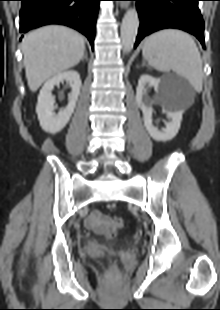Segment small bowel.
Wrapping results in <instances>:
<instances>
[{
	"label": "small bowel",
	"mask_w": 220,
	"mask_h": 310,
	"mask_svg": "<svg viewBox=\"0 0 220 310\" xmlns=\"http://www.w3.org/2000/svg\"><path fill=\"white\" fill-rule=\"evenodd\" d=\"M109 217L102 214L98 210H93L87 216L85 220V225L87 228L92 229L94 231H101L108 221Z\"/></svg>",
	"instance_id": "obj_1"
}]
</instances>
